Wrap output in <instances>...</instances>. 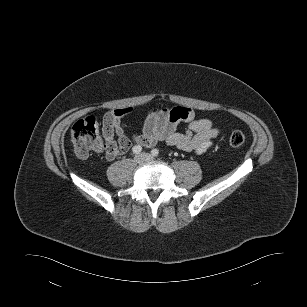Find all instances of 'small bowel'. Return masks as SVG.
Wrapping results in <instances>:
<instances>
[{
	"label": "small bowel",
	"mask_w": 307,
	"mask_h": 307,
	"mask_svg": "<svg viewBox=\"0 0 307 307\" xmlns=\"http://www.w3.org/2000/svg\"><path fill=\"white\" fill-rule=\"evenodd\" d=\"M131 111V108L116 109L104 117L103 136L107 145L104 151L108 160L127 153L132 143L150 148L160 141L179 150L203 154L220 133L211 120L197 119L193 110L179 106L152 110L144 120L142 132L129 139L120 119ZM180 123L187 124L185 133L177 131Z\"/></svg>",
	"instance_id": "1"
}]
</instances>
